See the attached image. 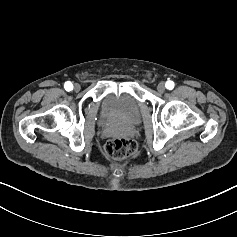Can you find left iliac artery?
I'll return each instance as SVG.
<instances>
[{"instance_id": "left-iliac-artery-1", "label": "left iliac artery", "mask_w": 237, "mask_h": 237, "mask_svg": "<svg viewBox=\"0 0 237 237\" xmlns=\"http://www.w3.org/2000/svg\"><path fill=\"white\" fill-rule=\"evenodd\" d=\"M165 87L169 90H172L174 88V82L171 81V80H168L166 83H165Z\"/></svg>"}]
</instances>
